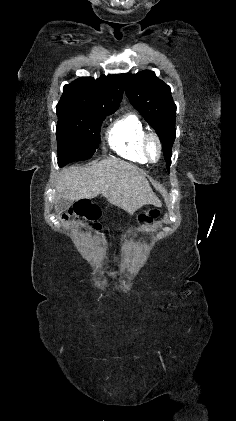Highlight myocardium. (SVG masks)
<instances>
[{"mask_svg": "<svg viewBox=\"0 0 236 421\" xmlns=\"http://www.w3.org/2000/svg\"><path fill=\"white\" fill-rule=\"evenodd\" d=\"M152 143H155L158 148V158L157 160H153L150 155V146ZM142 149L143 153L146 157V160L150 163H157L163 155V144L160 137L156 133H146L142 139Z\"/></svg>", "mask_w": 236, "mask_h": 421, "instance_id": "myocardium-1", "label": "myocardium"}]
</instances>
